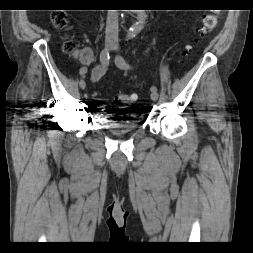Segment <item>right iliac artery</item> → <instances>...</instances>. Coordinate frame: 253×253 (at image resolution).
Here are the masks:
<instances>
[{
  "label": "right iliac artery",
  "instance_id": "1",
  "mask_svg": "<svg viewBox=\"0 0 253 253\" xmlns=\"http://www.w3.org/2000/svg\"><path fill=\"white\" fill-rule=\"evenodd\" d=\"M109 59H110V54L108 49H104L100 53V62L104 66L109 65ZM88 74V68L87 67H81L79 71V77H83V75Z\"/></svg>",
  "mask_w": 253,
  "mask_h": 253
}]
</instances>
